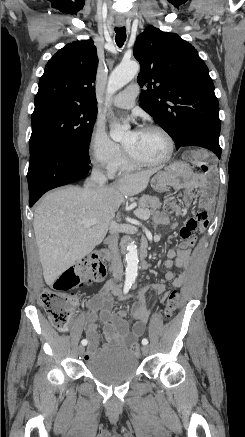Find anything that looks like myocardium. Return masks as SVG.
Returning <instances> with one entry per match:
<instances>
[{
  "label": "myocardium",
  "mask_w": 245,
  "mask_h": 437,
  "mask_svg": "<svg viewBox=\"0 0 245 437\" xmlns=\"http://www.w3.org/2000/svg\"><path fill=\"white\" fill-rule=\"evenodd\" d=\"M140 130H155V131H158L159 133H161L167 142L166 154L162 158L157 159V160H142V159H138V158L134 157L133 155H131L129 153V151L127 150V148L124 147L126 159L131 164H133L135 166H146V167L161 166V165L167 163L168 161H170V159L172 158V156L174 154L175 142H174L172 135L169 133V131L166 128H164L163 126L158 125V124H146V125L142 126V128Z\"/></svg>",
  "instance_id": "f54148a6"
}]
</instances>
